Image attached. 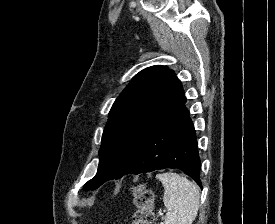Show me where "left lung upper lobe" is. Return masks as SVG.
Masks as SVG:
<instances>
[{"mask_svg": "<svg viewBox=\"0 0 275 224\" xmlns=\"http://www.w3.org/2000/svg\"><path fill=\"white\" fill-rule=\"evenodd\" d=\"M184 98L175 73L164 66L140 71L114 102L102 135L100 161L84 190L121 178L163 118Z\"/></svg>", "mask_w": 275, "mask_h": 224, "instance_id": "left-lung-upper-lobe-1", "label": "left lung upper lobe"}]
</instances>
